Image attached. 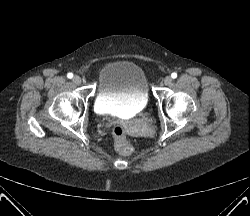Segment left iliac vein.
I'll return each instance as SVG.
<instances>
[{"label": "left iliac vein", "instance_id": "left-iliac-vein-1", "mask_svg": "<svg viewBox=\"0 0 250 216\" xmlns=\"http://www.w3.org/2000/svg\"><path fill=\"white\" fill-rule=\"evenodd\" d=\"M171 83H172V78L170 76L164 78L165 85H170Z\"/></svg>", "mask_w": 250, "mask_h": 216}]
</instances>
